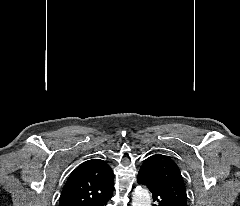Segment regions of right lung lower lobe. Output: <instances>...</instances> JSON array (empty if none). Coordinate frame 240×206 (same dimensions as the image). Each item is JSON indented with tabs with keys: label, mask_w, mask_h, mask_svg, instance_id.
Instances as JSON below:
<instances>
[{
	"label": "right lung lower lobe",
	"mask_w": 240,
	"mask_h": 206,
	"mask_svg": "<svg viewBox=\"0 0 240 206\" xmlns=\"http://www.w3.org/2000/svg\"><path fill=\"white\" fill-rule=\"evenodd\" d=\"M111 196H112V194L102 198L101 200L92 204L91 206H105L107 204L108 200L111 198Z\"/></svg>",
	"instance_id": "1"
}]
</instances>
